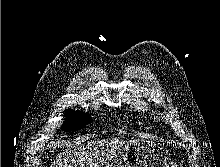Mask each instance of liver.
I'll return each mask as SVG.
<instances>
[{"label":"liver","instance_id":"liver-1","mask_svg":"<svg viewBox=\"0 0 220 167\" xmlns=\"http://www.w3.org/2000/svg\"><path fill=\"white\" fill-rule=\"evenodd\" d=\"M84 140L75 144H66L67 148L56 157L51 167H110L115 154L125 143L137 141H123L117 138L100 140L82 145Z\"/></svg>","mask_w":220,"mask_h":167}]
</instances>
